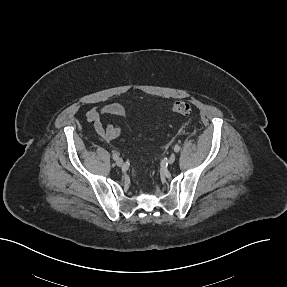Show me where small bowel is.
I'll list each match as a JSON object with an SVG mask.
<instances>
[{
	"mask_svg": "<svg viewBox=\"0 0 287 287\" xmlns=\"http://www.w3.org/2000/svg\"><path fill=\"white\" fill-rule=\"evenodd\" d=\"M105 115L124 117L126 111L123 105L119 103H110L104 106H95L85 114V119L93 124L98 136L102 140L110 142L122 135L123 128L121 126L103 123L101 118Z\"/></svg>",
	"mask_w": 287,
	"mask_h": 287,
	"instance_id": "c3829d8e",
	"label": "small bowel"
}]
</instances>
